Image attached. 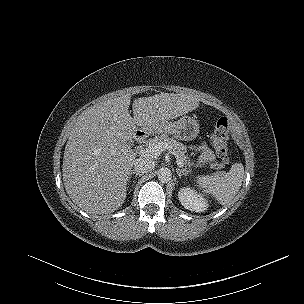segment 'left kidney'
I'll return each mask as SVG.
<instances>
[{"label": "left kidney", "mask_w": 304, "mask_h": 304, "mask_svg": "<svg viewBox=\"0 0 304 304\" xmlns=\"http://www.w3.org/2000/svg\"><path fill=\"white\" fill-rule=\"evenodd\" d=\"M178 198L181 205L190 211L204 212L208 208L207 201L190 188L180 189Z\"/></svg>", "instance_id": "obj_1"}]
</instances>
